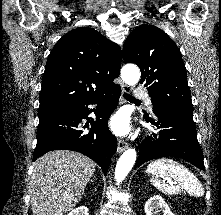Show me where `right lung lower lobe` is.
I'll return each instance as SVG.
<instances>
[{"label": "right lung lower lobe", "mask_w": 221, "mask_h": 215, "mask_svg": "<svg viewBox=\"0 0 221 215\" xmlns=\"http://www.w3.org/2000/svg\"><path fill=\"white\" fill-rule=\"evenodd\" d=\"M120 95L121 87L115 85L67 110L40 116L33 161L51 150H73L93 159L106 173L110 158L117 149L116 137L109 131L107 123ZM90 104H96V109H89ZM92 111L96 120L91 118L89 131H84L82 119H88Z\"/></svg>", "instance_id": "right-lung-lower-lobe-1"}]
</instances>
